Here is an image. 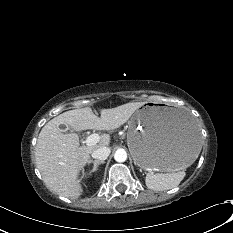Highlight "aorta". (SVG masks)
I'll use <instances>...</instances> for the list:
<instances>
[{
    "instance_id": "obj_1",
    "label": "aorta",
    "mask_w": 233,
    "mask_h": 233,
    "mask_svg": "<svg viewBox=\"0 0 233 233\" xmlns=\"http://www.w3.org/2000/svg\"><path fill=\"white\" fill-rule=\"evenodd\" d=\"M114 159L115 161L121 163V162H125L127 160V153L123 148H119L116 150L115 154H114Z\"/></svg>"
}]
</instances>
